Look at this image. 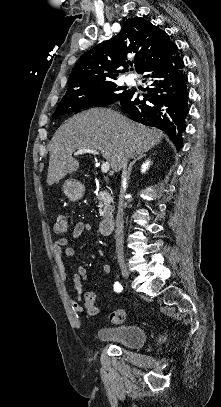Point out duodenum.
Returning <instances> with one entry per match:
<instances>
[{"mask_svg":"<svg viewBox=\"0 0 221 407\" xmlns=\"http://www.w3.org/2000/svg\"><path fill=\"white\" fill-rule=\"evenodd\" d=\"M114 226V212H110L101 222L99 231L101 235H108Z\"/></svg>","mask_w":221,"mask_h":407,"instance_id":"1","label":"duodenum"}]
</instances>
